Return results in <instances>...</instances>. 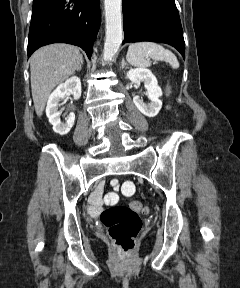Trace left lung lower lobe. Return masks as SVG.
Here are the masks:
<instances>
[{"mask_svg":"<svg viewBox=\"0 0 240 288\" xmlns=\"http://www.w3.org/2000/svg\"><path fill=\"white\" fill-rule=\"evenodd\" d=\"M126 42L153 41L174 46L185 58V42L175 0H123Z\"/></svg>","mask_w":240,"mask_h":288,"instance_id":"0a47b994","label":"left lung lower lobe"}]
</instances>
